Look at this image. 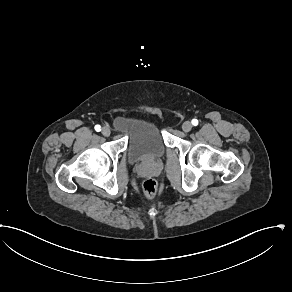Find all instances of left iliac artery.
I'll return each mask as SVG.
<instances>
[{"instance_id":"44dca946","label":"left iliac artery","mask_w":292,"mask_h":292,"mask_svg":"<svg viewBox=\"0 0 292 292\" xmlns=\"http://www.w3.org/2000/svg\"><path fill=\"white\" fill-rule=\"evenodd\" d=\"M191 122H192V124H193L194 126H197V125H198V120H197V119H193Z\"/></svg>"}]
</instances>
